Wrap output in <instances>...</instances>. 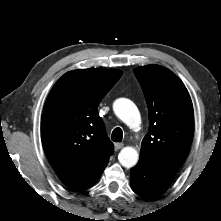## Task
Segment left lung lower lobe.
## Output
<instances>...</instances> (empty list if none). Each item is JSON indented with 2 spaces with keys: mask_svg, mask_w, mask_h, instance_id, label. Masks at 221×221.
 <instances>
[{
  "mask_svg": "<svg viewBox=\"0 0 221 221\" xmlns=\"http://www.w3.org/2000/svg\"><path fill=\"white\" fill-rule=\"evenodd\" d=\"M130 171L133 191L145 198L156 197L165 192L173 178L141 160Z\"/></svg>",
  "mask_w": 221,
  "mask_h": 221,
  "instance_id": "1",
  "label": "left lung lower lobe"
}]
</instances>
